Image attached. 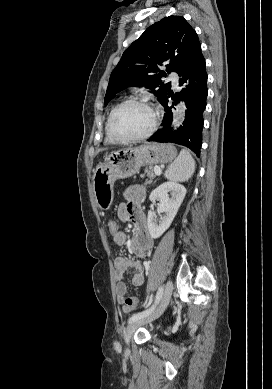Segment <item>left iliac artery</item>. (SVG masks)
I'll use <instances>...</instances> for the list:
<instances>
[{
  "instance_id": "left-iliac-artery-1",
  "label": "left iliac artery",
  "mask_w": 272,
  "mask_h": 389,
  "mask_svg": "<svg viewBox=\"0 0 272 389\" xmlns=\"http://www.w3.org/2000/svg\"><path fill=\"white\" fill-rule=\"evenodd\" d=\"M162 293H163V287L161 286L158 291H157V294H156V297H155V301H154V304L146 309L145 311H142V312H139V313H136L134 315H132L129 320H128V323H132L144 316H146L147 314H149L150 312H152L154 310V308L156 307V305L159 303L161 297H162ZM150 300H152V296L150 297Z\"/></svg>"
}]
</instances>
